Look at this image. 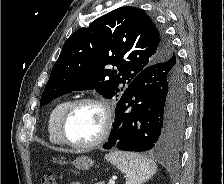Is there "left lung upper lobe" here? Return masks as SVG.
<instances>
[{
	"label": "left lung upper lobe",
	"mask_w": 224,
	"mask_h": 184,
	"mask_svg": "<svg viewBox=\"0 0 224 184\" xmlns=\"http://www.w3.org/2000/svg\"><path fill=\"white\" fill-rule=\"evenodd\" d=\"M173 57L181 66L163 32L142 10L120 7L67 39L40 105L75 90L95 89L104 98H119L122 84H130L146 67Z\"/></svg>",
	"instance_id": "1"
}]
</instances>
